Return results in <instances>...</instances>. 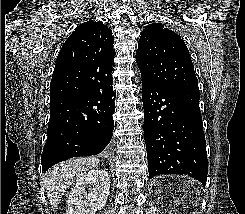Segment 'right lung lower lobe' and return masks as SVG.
Masks as SVG:
<instances>
[{
    "mask_svg": "<svg viewBox=\"0 0 245 214\" xmlns=\"http://www.w3.org/2000/svg\"><path fill=\"white\" fill-rule=\"evenodd\" d=\"M113 66L100 68L87 88L71 94L50 93V120L43 148L42 170L79 156L101 153L114 130L116 94L112 87Z\"/></svg>",
    "mask_w": 245,
    "mask_h": 214,
    "instance_id": "right-lung-lower-lobe-1",
    "label": "right lung lower lobe"
}]
</instances>
